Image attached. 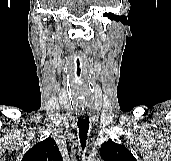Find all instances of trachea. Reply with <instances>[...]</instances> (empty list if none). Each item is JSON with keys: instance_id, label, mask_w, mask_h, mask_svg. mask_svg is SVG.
Returning a JSON list of instances; mask_svg holds the SVG:
<instances>
[{"instance_id": "obj_1", "label": "trachea", "mask_w": 171, "mask_h": 161, "mask_svg": "<svg viewBox=\"0 0 171 161\" xmlns=\"http://www.w3.org/2000/svg\"><path fill=\"white\" fill-rule=\"evenodd\" d=\"M77 126L79 128V139L81 147L86 146L87 134L89 130V117H80L78 118Z\"/></svg>"}]
</instances>
